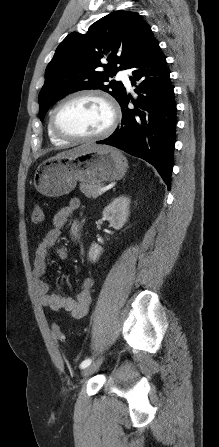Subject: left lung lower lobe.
Listing matches in <instances>:
<instances>
[{
	"label": "left lung lower lobe",
	"instance_id": "0a47b994",
	"mask_svg": "<svg viewBox=\"0 0 219 447\" xmlns=\"http://www.w3.org/2000/svg\"><path fill=\"white\" fill-rule=\"evenodd\" d=\"M126 69L132 70V85L136 86V81L142 80L135 90L139 95L138 101L131 99L136 108H128L129 96L125 93L119 102L122 109L121 126L110 137L97 143L118 147L146 160L157 169L170 189L176 103L166 57L153 34Z\"/></svg>",
	"mask_w": 219,
	"mask_h": 447
}]
</instances>
